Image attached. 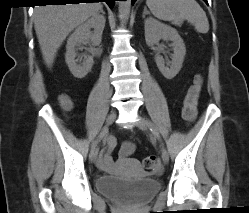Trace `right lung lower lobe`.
Listing matches in <instances>:
<instances>
[{
	"label": "right lung lower lobe",
	"instance_id": "right-lung-lower-lobe-1",
	"mask_svg": "<svg viewBox=\"0 0 249 213\" xmlns=\"http://www.w3.org/2000/svg\"><path fill=\"white\" fill-rule=\"evenodd\" d=\"M81 1H104L109 5L110 8H113L114 2L116 0H45V2L54 3V4H58V5L59 4H66V3H79Z\"/></svg>",
	"mask_w": 249,
	"mask_h": 213
}]
</instances>
